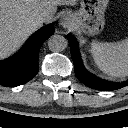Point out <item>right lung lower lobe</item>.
Returning a JSON list of instances; mask_svg holds the SVG:
<instances>
[{
	"label": "right lung lower lobe",
	"mask_w": 128,
	"mask_h": 128,
	"mask_svg": "<svg viewBox=\"0 0 128 128\" xmlns=\"http://www.w3.org/2000/svg\"><path fill=\"white\" fill-rule=\"evenodd\" d=\"M53 33V25L40 29L20 52L9 59L0 61V84L15 87L30 81L39 71L40 47Z\"/></svg>",
	"instance_id": "obj_1"
}]
</instances>
